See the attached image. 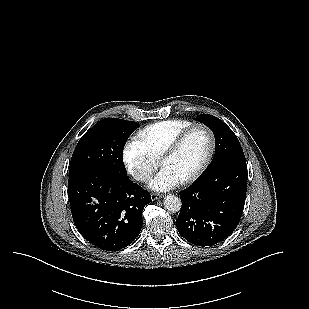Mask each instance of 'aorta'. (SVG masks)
<instances>
[{"mask_svg":"<svg viewBox=\"0 0 309 309\" xmlns=\"http://www.w3.org/2000/svg\"><path fill=\"white\" fill-rule=\"evenodd\" d=\"M181 206L180 198L175 195H167L164 199V207L170 212H178Z\"/></svg>","mask_w":309,"mask_h":309,"instance_id":"obj_1","label":"aorta"}]
</instances>
